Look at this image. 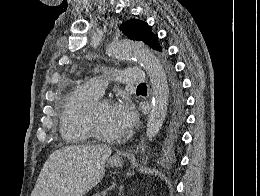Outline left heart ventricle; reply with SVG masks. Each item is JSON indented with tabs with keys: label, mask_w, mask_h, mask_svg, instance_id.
<instances>
[{
	"label": "left heart ventricle",
	"mask_w": 260,
	"mask_h": 196,
	"mask_svg": "<svg viewBox=\"0 0 260 196\" xmlns=\"http://www.w3.org/2000/svg\"><path fill=\"white\" fill-rule=\"evenodd\" d=\"M95 120L97 126L107 133L120 132L112 113V105L101 107L95 115Z\"/></svg>",
	"instance_id": "left-heart-ventricle-1"
}]
</instances>
